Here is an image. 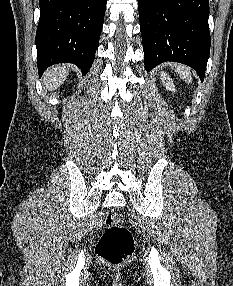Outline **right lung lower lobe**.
<instances>
[{
  "label": "right lung lower lobe",
  "mask_w": 233,
  "mask_h": 286,
  "mask_svg": "<svg viewBox=\"0 0 233 286\" xmlns=\"http://www.w3.org/2000/svg\"><path fill=\"white\" fill-rule=\"evenodd\" d=\"M36 32L38 71L73 63L86 74L95 58L106 0H39Z\"/></svg>",
  "instance_id": "right-lung-lower-lobe-1"
}]
</instances>
